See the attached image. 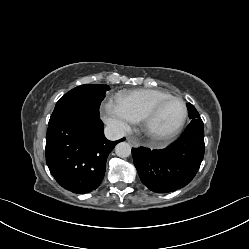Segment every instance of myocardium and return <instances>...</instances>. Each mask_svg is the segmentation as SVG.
I'll use <instances>...</instances> for the list:
<instances>
[{
  "label": "myocardium",
  "instance_id": "1",
  "mask_svg": "<svg viewBox=\"0 0 249 249\" xmlns=\"http://www.w3.org/2000/svg\"><path fill=\"white\" fill-rule=\"evenodd\" d=\"M173 100L179 101L183 106V113L178 124L172 131L168 133L161 134V135L154 134L151 128L152 122L156 118L159 111L163 108V106L166 103L173 101ZM187 115H188V109H187V105L185 101L182 98L177 97V96H169L157 102L148 111H146L143 117L141 118V121H142L144 132L151 140L156 141V142H166L172 139L173 137H175L181 131L186 121Z\"/></svg>",
  "mask_w": 249,
  "mask_h": 249
}]
</instances>
